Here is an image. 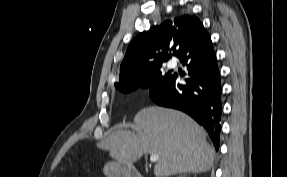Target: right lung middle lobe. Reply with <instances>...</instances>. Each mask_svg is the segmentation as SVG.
Returning <instances> with one entry per match:
<instances>
[{
	"instance_id": "right-lung-middle-lobe-1",
	"label": "right lung middle lobe",
	"mask_w": 287,
	"mask_h": 177,
	"mask_svg": "<svg viewBox=\"0 0 287 177\" xmlns=\"http://www.w3.org/2000/svg\"><path fill=\"white\" fill-rule=\"evenodd\" d=\"M161 67H162V64L157 66L155 69L151 70L150 72H148L144 77H142L137 82L119 85V86H115V87H116V89H118L119 91H121L123 93L132 92V91L138 89L139 87L150 89L152 86H154L160 82H163L164 80H166L171 75L170 72L164 74L161 71Z\"/></svg>"
}]
</instances>
